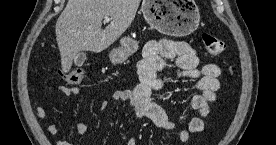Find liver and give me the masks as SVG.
<instances>
[{"mask_svg":"<svg viewBox=\"0 0 276 145\" xmlns=\"http://www.w3.org/2000/svg\"><path fill=\"white\" fill-rule=\"evenodd\" d=\"M141 0H68L57 19L55 33L63 72L71 69L80 51L99 53L131 25ZM111 18L102 30V20Z\"/></svg>","mask_w":276,"mask_h":145,"instance_id":"1","label":"liver"}]
</instances>
